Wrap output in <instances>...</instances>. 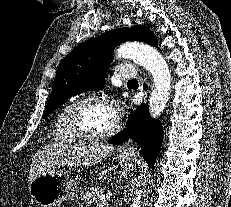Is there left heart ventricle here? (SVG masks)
<instances>
[{"label":"left heart ventricle","mask_w":231,"mask_h":207,"mask_svg":"<svg viewBox=\"0 0 231 207\" xmlns=\"http://www.w3.org/2000/svg\"><path fill=\"white\" fill-rule=\"evenodd\" d=\"M78 117L81 125L93 134L106 132L116 120L110 106L101 103L86 104L80 109Z\"/></svg>","instance_id":"left-heart-ventricle-1"}]
</instances>
